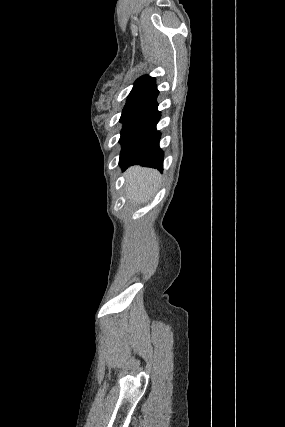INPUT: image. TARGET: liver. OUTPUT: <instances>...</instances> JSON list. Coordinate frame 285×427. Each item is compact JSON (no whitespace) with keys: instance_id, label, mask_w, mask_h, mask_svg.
Returning <instances> with one entry per match:
<instances>
[{"instance_id":"1","label":"liver","mask_w":285,"mask_h":427,"mask_svg":"<svg viewBox=\"0 0 285 427\" xmlns=\"http://www.w3.org/2000/svg\"><path fill=\"white\" fill-rule=\"evenodd\" d=\"M161 175L157 170L132 166L126 172V194L132 203H146L156 192Z\"/></svg>"}]
</instances>
